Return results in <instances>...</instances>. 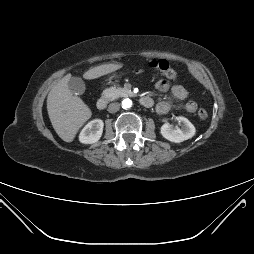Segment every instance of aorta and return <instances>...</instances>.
I'll return each mask as SVG.
<instances>
[{"mask_svg":"<svg viewBox=\"0 0 254 254\" xmlns=\"http://www.w3.org/2000/svg\"><path fill=\"white\" fill-rule=\"evenodd\" d=\"M132 106V101L130 100V99H124L123 101H122V107L124 108V109H128V108H130Z\"/></svg>","mask_w":254,"mask_h":254,"instance_id":"762f6f07","label":"aorta"}]
</instances>
